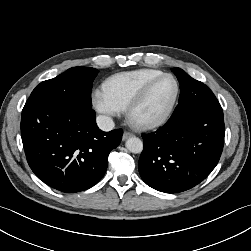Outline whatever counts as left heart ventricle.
<instances>
[{"instance_id":"b2bd125f","label":"left heart ventricle","mask_w":251,"mask_h":251,"mask_svg":"<svg viewBox=\"0 0 251 251\" xmlns=\"http://www.w3.org/2000/svg\"><path fill=\"white\" fill-rule=\"evenodd\" d=\"M174 93V81L171 78H163L151 89L145 102L138 109L136 116L143 120L160 116L168 107Z\"/></svg>"}]
</instances>
